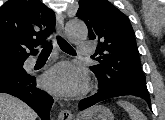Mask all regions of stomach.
I'll list each match as a JSON object with an SVG mask.
<instances>
[{
    "mask_svg": "<svg viewBox=\"0 0 165 120\" xmlns=\"http://www.w3.org/2000/svg\"><path fill=\"white\" fill-rule=\"evenodd\" d=\"M79 120H114V116L107 107L95 105L87 109Z\"/></svg>",
    "mask_w": 165,
    "mask_h": 120,
    "instance_id": "obj_1",
    "label": "stomach"
}]
</instances>
